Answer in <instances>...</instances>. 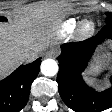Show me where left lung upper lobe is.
Instances as JSON below:
<instances>
[{"label":"left lung upper lobe","instance_id":"1","mask_svg":"<svg viewBox=\"0 0 112 112\" xmlns=\"http://www.w3.org/2000/svg\"><path fill=\"white\" fill-rule=\"evenodd\" d=\"M107 17H106V25H112V13L107 12L106 13Z\"/></svg>","mask_w":112,"mask_h":112}]
</instances>
